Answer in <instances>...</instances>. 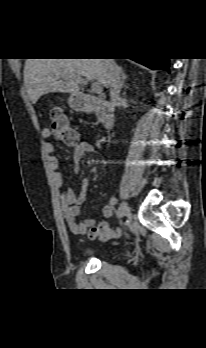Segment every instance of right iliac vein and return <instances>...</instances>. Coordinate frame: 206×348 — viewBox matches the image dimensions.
<instances>
[{
    "mask_svg": "<svg viewBox=\"0 0 206 348\" xmlns=\"http://www.w3.org/2000/svg\"><path fill=\"white\" fill-rule=\"evenodd\" d=\"M129 212V207L127 202H122L118 208L117 216L118 218L124 217Z\"/></svg>",
    "mask_w": 206,
    "mask_h": 348,
    "instance_id": "right-iliac-vein-1",
    "label": "right iliac vein"
}]
</instances>
